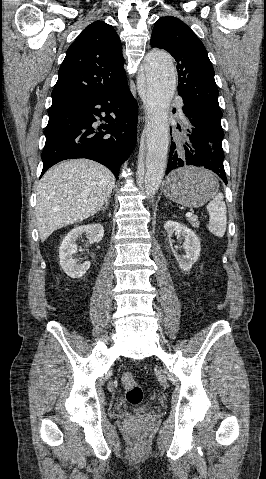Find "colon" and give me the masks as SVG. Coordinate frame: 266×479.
<instances>
[{
	"label": "colon",
	"instance_id": "1",
	"mask_svg": "<svg viewBox=\"0 0 266 479\" xmlns=\"http://www.w3.org/2000/svg\"><path fill=\"white\" fill-rule=\"evenodd\" d=\"M123 385L126 389V400L131 405H138L143 400V390L135 382L130 372L124 373L122 377Z\"/></svg>",
	"mask_w": 266,
	"mask_h": 479
}]
</instances>
